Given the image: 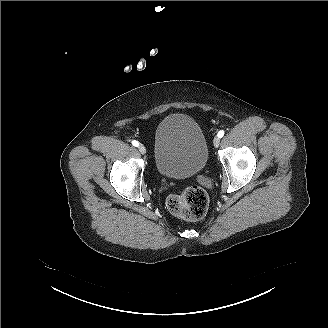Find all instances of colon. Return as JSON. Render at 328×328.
<instances>
[{
    "mask_svg": "<svg viewBox=\"0 0 328 328\" xmlns=\"http://www.w3.org/2000/svg\"><path fill=\"white\" fill-rule=\"evenodd\" d=\"M208 204L207 193L196 185L187 186L167 198L169 211L176 217L190 221L202 218L207 212Z\"/></svg>",
    "mask_w": 328,
    "mask_h": 328,
    "instance_id": "colon-1",
    "label": "colon"
}]
</instances>
